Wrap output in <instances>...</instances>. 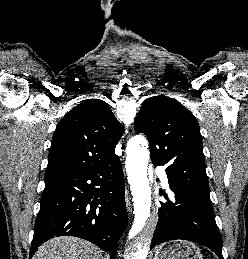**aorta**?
<instances>
[{
  "label": "aorta",
  "instance_id": "1",
  "mask_svg": "<svg viewBox=\"0 0 248 259\" xmlns=\"http://www.w3.org/2000/svg\"><path fill=\"white\" fill-rule=\"evenodd\" d=\"M126 172L133 197L134 228L140 235L128 247L125 259H146L149 250L148 224L151 209V188L148 178L149 151L144 137H133L127 146Z\"/></svg>",
  "mask_w": 248,
  "mask_h": 259
}]
</instances>
